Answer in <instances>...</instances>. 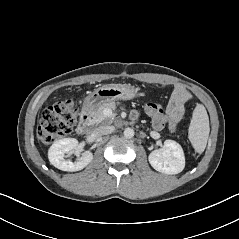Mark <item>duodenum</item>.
Wrapping results in <instances>:
<instances>
[{
    "mask_svg": "<svg viewBox=\"0 0 239 239\" xmlns=\"http://www.w3.org/2000/svg\"><path fill=\"white\" fill-rule=\"evenodd\" d=\"M91 124V113L86 111L82 118L81 121L77 127V133L82 135L90 126Z\"/></svg>",
    "mask_w": 239,
    "mask_h": 239,
    "instance_id": "410a0bca",
    "label": "duodenum"
}]
</instances>
